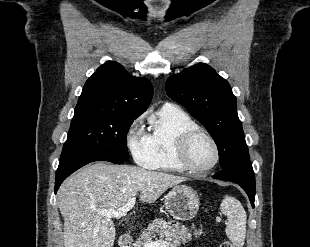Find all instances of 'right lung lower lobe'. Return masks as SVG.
<instances>
[{
	"instance_id": "right-lung-lower-lobe-1",
	"label": "right lung lower lobe",
	"mask_w": 310,
	"mask_h": 247,
	"mask_svg": "<svg viewBox=\"0 0 310 247\" xmlns=\"http://www.w3.org/2000/svg\"><path fill=\"white\" fill-rule=\"evenodd\" d=\"M94 161H109L115 164H121L124 162L106 156H94V155L75 156L62 160L60 161L56 172L55 193L57 192L61 183L70 174H72L77 169L83 167L84 165Z\"/></svg>"
}]
</instances>
